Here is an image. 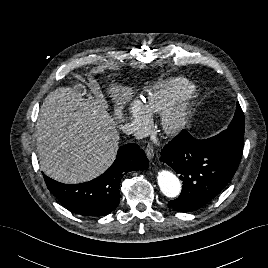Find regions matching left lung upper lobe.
I'll use <instances>...</instances> for the list:
<instances>
[{
  "mask_svg": "<svg viewBox=\"0 0 268 268\" xmlns=\"http://www.w3.org/2000/svg\"><path fill=\"white\" fill-rule=\"evenodd\" d=\"M243 136H244V114L237 104L236 112L232 122L226 130L212 137L218 144L228 147L238 153L243 150Z\"/></svg>",
  "mask_w": 268,
  "mask_h": 268,
  "instance_id": "obj_1",
  "label": "left lung upper lobe"
}]
</instances>
